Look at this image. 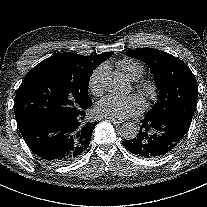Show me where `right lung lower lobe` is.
Here are the masks:
<instances>
[{
  "mask_svg": "<svg viewBox=\"0 0 207 207\" xmlns=\"http://www.w3.org/2000/svg\"><path fill=\"white\" fill-rule=\"evenodd\" d=\"M97 123L88 122L83 112L78 117H35L17 125L37 156L50 164L63 165L85 152Z\"/></svg>",
  "mask_w": 207,
  "mask_h": 207,
  "instance_id": "obj_1",
  "label": "right lung lower lobe"
}]
</instances>
